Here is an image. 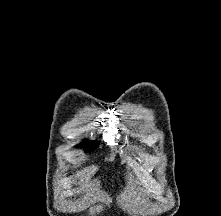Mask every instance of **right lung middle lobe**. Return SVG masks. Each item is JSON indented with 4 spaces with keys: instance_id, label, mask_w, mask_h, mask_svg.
I'll use <instances>...</instances> for the list:
<instances>
[{
    "instance_id": "dd1d6c3e",
    "label": "right lung middle lobe",
    "mask_w": 221,
    "mask_h": 216,
    "mask_svg": "<svg viewBox=\"0 0 221 216\" xmlns=\"http://www.w3.org/2000/svg\"><path fill=\"white\" fill-rule=\"evenodd\" d=\"M84 146L86 147L87 151H91L93 149H95L98 146V142L97 141H85Z\"/></svg>"
}]
</instances>
